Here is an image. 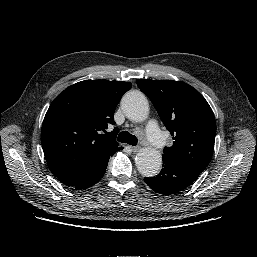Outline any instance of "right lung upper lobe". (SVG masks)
Segmentation results:
<instances>
[{"label": "right lung upper lobe", "instance_id": "1", "mask_svg": "<svg viewBox=\"0 0 257 257\" xmlns=\"http://www.w3.org/2000/svg\"><path fill=\"white\" fill-rule=\"evenodd\" d=\"M130 82L85 80L66 88L51 103L41 130L50 171L72 186L121 150L116 142L114 110Z\"/></svg>", "mask_w": 257, "mask_h": 257}]
</instances>
